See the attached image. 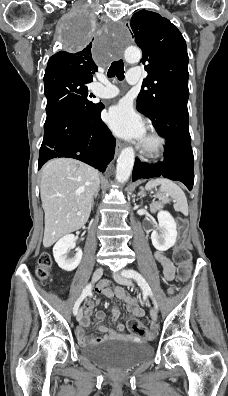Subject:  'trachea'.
Returning <instances> with one entry per match:
<instances>
[{"label":"trachea","mask_w":228,"mask_h":396,"mask_svg":"<svg viewBox=\"0 0 228 396\" xmlns=\"http://www.w3.org/2000/svg\"><path fill=\"white\" fill-rule=\"evenodd\" d=\"M108 77H117L118 80L122 81L124 79V65L122 60L112 62L109 70Z\"/></svg>","instance_id":"obj_1"}]
</instances>
